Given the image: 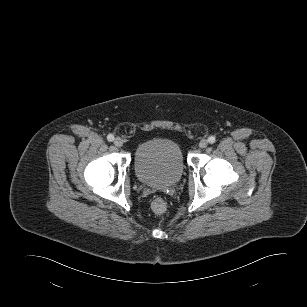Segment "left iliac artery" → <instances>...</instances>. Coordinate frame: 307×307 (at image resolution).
<instances>
[{"instance_id": "obj_1", "label": "left iliac artery", "mask_w": 307, "mask_h": 307, "mask_svg": "<svg viewBox=\"0 0 307 307\" xmlns=\"http://www.w3.org/2000/svg\"><path fill=\"white\" fill-rule=\"evenodd\" d=\"M215 141H216V138H215L214 136H210V137L208 138V142H209L210 144L215 143Z\"/></svg>"}]
</instances>
